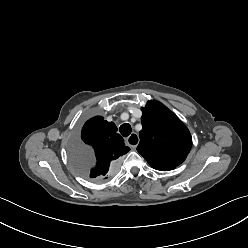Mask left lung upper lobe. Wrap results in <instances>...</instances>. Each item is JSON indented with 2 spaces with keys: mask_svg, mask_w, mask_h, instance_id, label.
<instances>
[{
  "mask_svg": "<svg viewBox=\"0 0 248 248\" xmlns=\"http://www.w3.org/2000/svg\"><path fill=\"white\" fill-rule=\"evenodd\" d=\"M142 110L137 151L156 170L175 169L187 157L192 138L188 128L165 105L148 101Z\"/></svg>",
  "mask_w": 248,
  "mask_h": 248,
  "instance_id": "obj_1",
  "label": "left lung upper lobe"
}]
</instances>
